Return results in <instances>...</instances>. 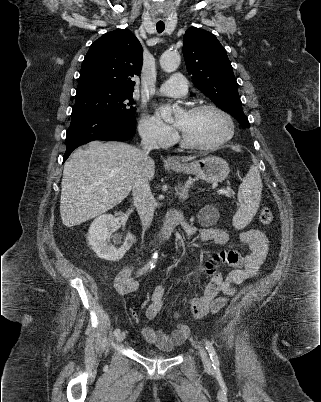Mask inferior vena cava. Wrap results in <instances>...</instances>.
Here are the masks:
<instances>
[{"mask_svg": "<svg viewBox=\"0 0 321 402\" xmlns=\"http://www.w3.org/2000/svg\"><path fill=\"white\" fill-rule=\"evenodd\" d=\"M141 158L142 166L148 159V154L151 150L159 149L157 139L149 132L142 134L141 141ZM132 195L134 205L137 208L140 220L142 223L143 231L150 227L155 210V200L150 190L149 180L147 179L144 170L139 171L132 181Z\"/></svg>", "mask_w": 321, "mask_h": 402, "instance_id": "1", "label": "inferior vena cava"}]
</instances>
